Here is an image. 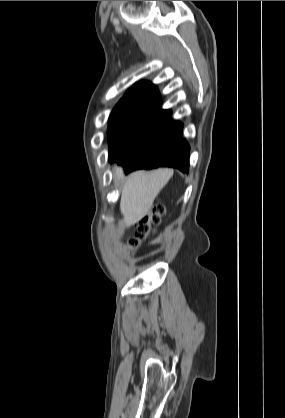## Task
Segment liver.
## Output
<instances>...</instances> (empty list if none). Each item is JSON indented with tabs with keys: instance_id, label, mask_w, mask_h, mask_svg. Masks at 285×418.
<instances>
[{
	"instance_id": "6515ba94",
	"label": "liver",
	"mask_w": 285,
	"mask_h": 418,
	"mask_svg": "<svg viewBox=\"0 0 285 418\" xmlns=\"http://www.w3.org/2000/svg\"><path fill=\"white\" fill-rule=\"evenodd\" d=\"M114 179L120 180L122 168H114ZM173 175V170L161 168L152 171H136L126 180L121 193L120 211L122 227L139 222L151 210L153 202Z\"/></svg>"
}]
</instances>
